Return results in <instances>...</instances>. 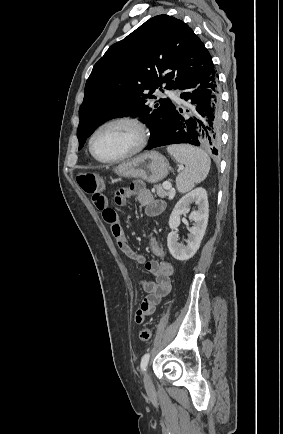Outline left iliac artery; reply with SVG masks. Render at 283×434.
<instances>
[{
  "label": "left iliac artery",
  "mask_w": 283,
  "mask_h": 434,
  "mask_svg": "<svg viewBox=\"0 0 283 434\" xmlns=\"http://www.w3.org/2000/svg\"><path fill=\"white\" fill-rule=\"evenodd\" d=\"M149 358H150V354L149 353H146L142 357L141 364H140V367H141L142 371H146V368H147V365H148V362H149Z\"/></svg>",
  "instance_id": "1"
}]
</instances>
